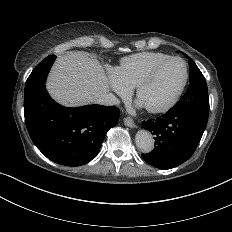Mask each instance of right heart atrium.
<instances>
[{"instance_id": "1", "label": "right heart atrium", "mask_w": 232, "mask_h": 232, "mask_svg": "<svg viewBox=\"0 0 232 232\" xmlns=\"http://www.w3.org/2000/svg\"><path fill=\"white\" fill-rule=\"evenodd\" d=\"M104 68L106 69V71L108 72L110 79L112 81L113 84V92H117V93H124L127 92V89L122 85V83L117 79L116 76V70L115 67L106 64L104 66Z\"/></svg>"}]
</instances>
